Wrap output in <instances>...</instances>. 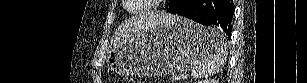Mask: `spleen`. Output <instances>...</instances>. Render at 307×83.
Listing matches in <instances>:
<instances>
[{"instance_id":"1","label":"spleen","mask_w":307,"mask_h":83,"mask_svg":"<svg viewBox=\"0 0 307 83\" xmlns=\"http://www.w3.org/2000/svg\"><path fill=\"white\" fill-rule=\"evenodd\" d=\"M212 51L196 61L191 67V76L194 79L207 78L219 72L225 65L228 56V46L220 30L209 28Z\"/></svg>"}]
</instances>
